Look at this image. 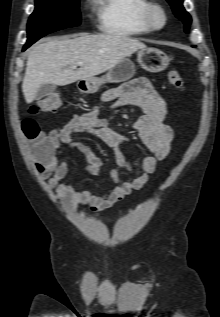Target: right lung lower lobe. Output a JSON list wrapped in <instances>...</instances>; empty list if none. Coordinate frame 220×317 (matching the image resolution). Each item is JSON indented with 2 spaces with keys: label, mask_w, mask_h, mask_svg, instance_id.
Masks as SVG:
<instances>
[{
  "label": "right lung lower lobe",
  "mask_w": 220,
  "mask_h": 317,
  "mask_svg": "<svg viewBox=\"0 0 220 317\" xmlns=\"http://www.w3.org/2000/svg\"><path fill=\"white\" fill-rule=\"evenodd\" d=\"M31 44H33V43L27 42V43L24 45V47H23V51H24L25 49H27Z\"/></svg>",
  "instance_id": "1"
}]
</instances>
